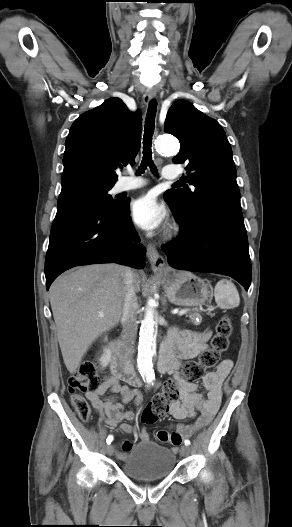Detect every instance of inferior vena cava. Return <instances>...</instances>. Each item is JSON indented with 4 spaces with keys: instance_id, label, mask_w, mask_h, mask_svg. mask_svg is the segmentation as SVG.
Instances as JSON below:
<instances>
[{
    "instance_id": "obj_1",
    "label": "inferior vena cava",
    "mask_w": 292,
    "mask_h": 527,
    "mask_svg": "<svg viewBox=\"0 0 292 527\" xmlns=\"http://www.w3.org/2000/svg\"><path fill=\"white\" fill-rule=\"evenodd\" d=\"M138 307L136 287L134 285V273L130 268H125L122 324L127 344L131 349L133 348L138 330L136 317Z\"/></svg>"
}]
</instances>
